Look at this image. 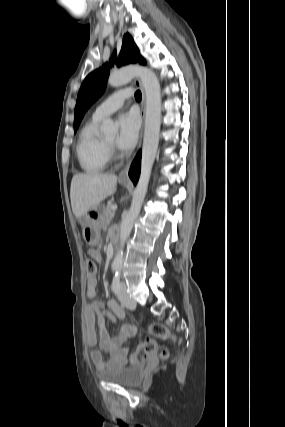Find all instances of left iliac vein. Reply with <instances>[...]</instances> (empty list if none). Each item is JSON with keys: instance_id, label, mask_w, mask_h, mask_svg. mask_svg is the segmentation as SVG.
I'll use <instances>...</instances> for the list:
<instances>
[{"instance_id": "4c4485c4", "label": "left iliac vein", "mask_w": 285, "mask_h": 427, "mask_svg": "<svg viewBox=\"0 0 285 427\" xmlns=\"http://www.w3.org/2000/svg\"><path fill=\"white\" fill-rule=\"evenodd\" d=\"M118 299L128 309H134L136 307V301L129 297L124 283L120 284Z\"/></svg>"}]
</instances>
